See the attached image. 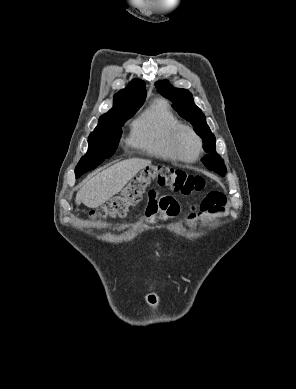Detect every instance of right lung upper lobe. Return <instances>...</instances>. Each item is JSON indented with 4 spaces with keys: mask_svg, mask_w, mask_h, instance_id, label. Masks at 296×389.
I'll return each instance as SVG.
<instances>
[{
    "mask_svg": "<svg viewBox=\"0 0 296 389\" xmlns=\"http://www.w3.org/2000/svg\"><path fill=\"white\" fill-rule=\"evenodd\" d=\"M146 97V86L142 80H133L130 87L114 95L113 108L100 118L108 117L122 111L141 107Z\"/></svg>",
    "mask_w": 296,
    "mask_h": 389,
    "instance_id": "1",
    "label": "right lung upper lobe"
}]
</instances>
